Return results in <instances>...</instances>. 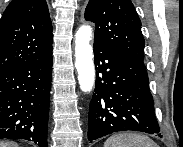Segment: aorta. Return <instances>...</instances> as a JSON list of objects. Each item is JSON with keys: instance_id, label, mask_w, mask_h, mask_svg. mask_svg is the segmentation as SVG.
Listing matches in <instances>:
<instances>
[{"instance_id": "762f6f07", "label": "aorta", "mask_w": 183, "mask_h": 147, "mask_svg": "<svg viewBox=\"0 0 183 147\" xmlns=\"http://www.w3.org/2000/svg\"><path fill=\"white\" fill-rule=\"evenodd\" d=\"M91 37L92 28L89 25H83L75 34V67L78 72L80 89L83 92L91 91L95 82Z\"/></svg>"}]
</instances>
